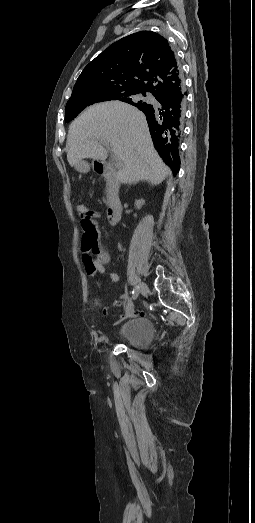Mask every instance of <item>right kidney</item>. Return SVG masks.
Wrapping results in <instances>:
<instances>
[{"mask_svg": "<svg viewBox=\"0 0 255 523\" xmlns=\"http://www.w3.org/2000/svg\"><path fill=\"white\" fill-rule=\"evenodd\" d=\"M145 204V200H136L135 202V206L137 208V210H140V208H142V206H144Z\"/></svg>", "mask_w": 255, "mask_h": 523, "instance_id": "right-kidney-1", "label": "right kidney"}]
</instances>
